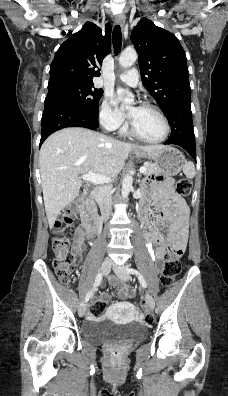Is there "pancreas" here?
<instances>
[{
  "label": "pancreas",
  "instance_id": "pancreas-1",
  "mask_svg": "<svg viewBox=\"0 0 228 396\" xmlns=\"http://www.w3.org/2000/svg\"><path fill=\"white\" fill-rule=\"evenodd\" d=\"M145 167H146V171L144 172L145 176H149L152 174H158L160 172L158 167L155 164L147 163V164H145Z\"/></svg>",
  "mask_w": 228,
  "mask_h": 396
}]
</instances>
